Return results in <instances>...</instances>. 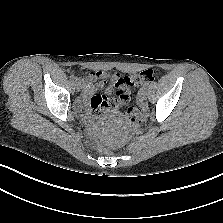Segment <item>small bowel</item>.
<instances>
[{
    "label": "small bowel",
    "mask_w": 223,
    "mask_h": 223,
    "mask_svg": "<svg viewBox=\"0 0 223 223\" xmlns=\"http://www.w3.org/2000/svg\"><path fill=\"white\" fill-rule=\"evenodd\" d=\"M107 75H108L107 72H94L91 74L90 81L92 83L89 85L84 99H87L90 96L91 91L97 88H102L105 85L106 82H104L103 80L107 77ZM97 79H100L101 81L93 83ZM113 89H115L114 86L112 84H109L105 90L106 94H110L113 91ZM91 103L93 110L87 116V119L89 121H92L95 118V116L101 112L110 113L112 115L113 113L116 112L119 106L123 105V103H121L117 97L111 100L104 95L92 97Z\"/></svg>",
    "instance_id": "small-bowel-1"
}]
</instances>
